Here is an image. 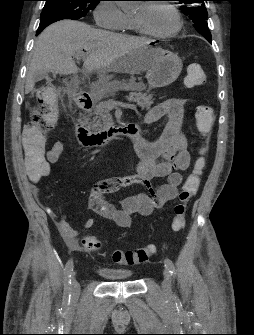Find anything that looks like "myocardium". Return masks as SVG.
<instances>
[{
  "instance_id": "f54148a6",
  "label": "myocardium",
  "mask_w": 254,
  "mask_h": 335,
  "mask_svg": "<svg viewBox=\"0 0 254 335\" xmlns=\"http://www.w3.org/2000/svg\"><path fill=\"white\" fill-rule=\"evenodd\" d=\"M146 5H164L167 6L174 14L175 16V20H176V24L175 27L166 32V33H157V32H153L148 30L140 21H138L137 19L134 18V22L137 26V28L139 29V31L147 36L153 37V38H157V39H168V38H172L174 37L176 34H178L180 32V30L182 29L183 26V21H182V17L180 14V11L178 10V8L170 3V2H166V1H156L153 3H148Z\"/></svg>"
}]
</instances>
